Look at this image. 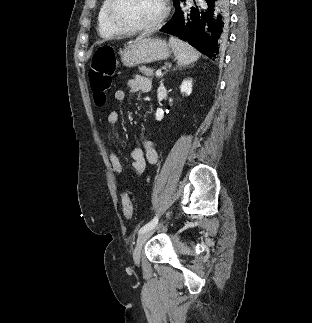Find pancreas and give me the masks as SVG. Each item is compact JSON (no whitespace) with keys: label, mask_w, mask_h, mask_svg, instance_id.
I'll return each instance as SVG.
<instances>
[{"label":"pancreas","mask_w":312,"mask_h":323,"mask_svg":"<svg viewBox=\"0 0 312 323\" xmlns=\"http://www.w3.org/2000/svg\"><path fill=\"white\" fill-rule=\"evenodd\" d=\"M141 74H144V76H154V70H150V68H146V66H141V68H139ZM159 78V76H158Z\"/></svg>","instance_id":"1"}]
</instances>
